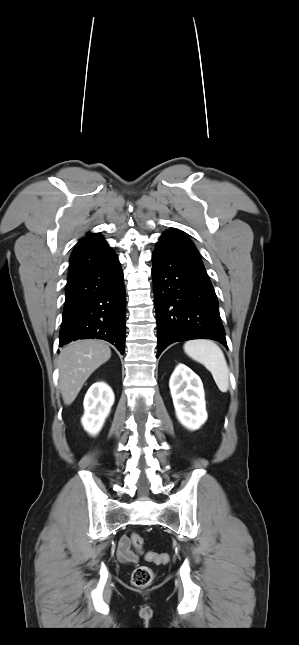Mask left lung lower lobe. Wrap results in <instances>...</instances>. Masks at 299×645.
I'll return each mask as SVG.
<instances>
[{
    "mask_svg": "<svg viewBox=\"0 0 299 645\" xmlns=\"http://www.w3.org/2000/svg\"><path fill=\"white\" fill-rule=\"evenodd\" d=\"M152 261L157 357L168 345L191 339H213L227 347L217 297L193 242L177 229L167 230Z\"/></svg>",
    "mask_w": 299,
    "mask_h": 645,
    "instance_id": "0a47b994",
    "label": "left lung lower lobe"
}]
</instances>
